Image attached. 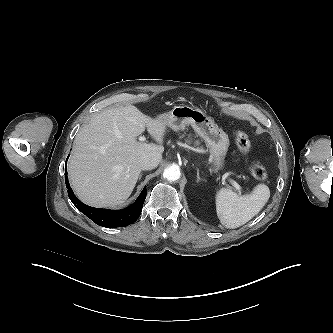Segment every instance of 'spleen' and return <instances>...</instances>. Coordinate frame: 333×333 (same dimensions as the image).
<instances>
[{"instance_id": "1", "label": "spleen", "mask_w": 333, "mask_h": 333, "mask_svg": "<svg viewBox=\"0 0 333 333\" xmlns=\"http://www.w3.org/2000/svg\"><path fill=\"white\" fill-rule=\"evenodd\" d=\"M270 197L264 184L257 185L251 194L239 196L229 188H221L216 194V212L222 225L237 228L257 215Z\"/></svg>"}]
</instances>
